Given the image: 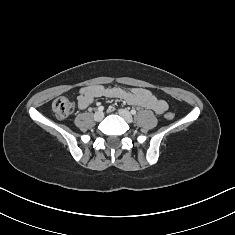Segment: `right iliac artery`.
I'll return each instance as SVG.
<instances>
[{"label": "right iliac artery", "mask_w": 235, "mask_h": 235, "mask_svg": "<svg viewBox=\"0 0 235 235\" xmlns=\"http://www.w3.org/2000/svg\"><path fill=\"white\" fill-rule=\"evenodd\" d=\"M98 110H99V111H103V110H104V107H103V106H99V107H98Z\"/></svg>", "instance_id": "obj_1"}]
</instances>
